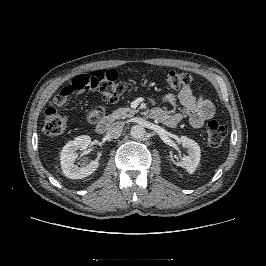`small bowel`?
<instances>
[{
	"instance_id": "small-bowel-1",
	"label": "small bowel",
	"mask_w": 266,
	"mask_h": 266,
	"mask_svg": "<svg viewBox=\"0 0 266 266\" xmlns=\"http://www.w3.org/2000/svg\"><path fill=\"white\" fill-rule=\"evenodd\" d=\"M164 101L169 104H177L180 109V112L175 114L163 111L165 118L161 122L169 127L177 126L185 117H188L190 125L198 129L215 114L213 103L202 95L196 96L189 86L183 88L177 96L173 94L165 95ZM101 110V107L91 110L88 117L91 113H98Z\"/></svg>"
}]
</instances>
